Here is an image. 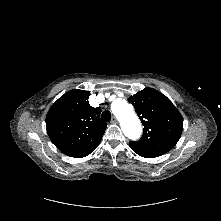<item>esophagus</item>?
<instances>
[{
    "mask_svg": "<svg viewBox=\"0 0 221 221\" xmlns=\"http://www.w3.org/2000/svg\"><path fill=\"white\" fill-rule=\"evenodd\" d=\"M117 122H118L117 118L115 116H113L111 119V123L116 124Z\"/></svg>",
    "mask_w": 221,
    "mask_h": 221,
    "instance_id": "34e87169",
    "label": "esophagus"
}]
</instances>
